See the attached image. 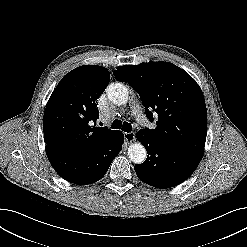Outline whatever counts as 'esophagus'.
<instances>
[{
  "label": "esophagus",
  "instance_id": "34e87169",
  "mask_svg": "<svg viewBox=\"0 0 247 247\" xmlns=\"http://www.w3.org/2000/svg\"><path fill=\"white\" fill-rule=\"evenodd\" d=\"M124 139L127 143H132L135 140V133L134 132H126L124 133Z\"/></svg>",
  "mask_w": 247,
  "mask_h": 247
}]
</instances>
